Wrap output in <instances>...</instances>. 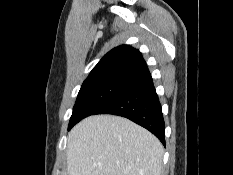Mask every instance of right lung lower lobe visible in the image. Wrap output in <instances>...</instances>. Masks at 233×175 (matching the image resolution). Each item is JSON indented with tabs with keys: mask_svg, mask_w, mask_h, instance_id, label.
Here are the masks:
<instances>
[{
	"mask_svg": "<svg viewBox=\"0 0 233 175\" xmlns=\"http://www.w3.org/2000/svg\"><path fill=\"white\" fill-rule=\"evenodd\" d=\"M93 114L126 117L152 132L165 144L164 119L150 73L134 79Z\"/></svg>",
	"mask_w": 233,
	"mask_h": 175,
	"instance_id": "right-lung-lower-lobe-1",
	"label": "right lung lower lobe"
}]
</instances>
